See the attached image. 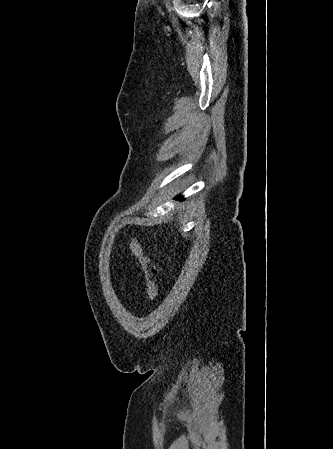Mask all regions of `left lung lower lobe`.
<instances>
[{
    "label": "left lung lower lobe",
    "instance_id": "0a47b994",
    "mask_svg": "<svg viewBox=\"0 0 333 449\" xmlns=\"http://www.w3.org/2000/svg\"><path fill=\"white\" fill-rule=\"evenodd\" d=\"M176 198H178V199H181V197L179 196V197H176Z\"/></svg>",
    "mask_w": 333,
    "mask_h": 449
}]
</instances>
